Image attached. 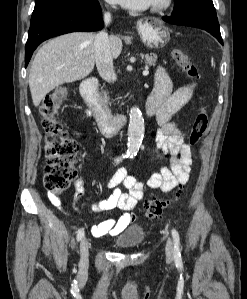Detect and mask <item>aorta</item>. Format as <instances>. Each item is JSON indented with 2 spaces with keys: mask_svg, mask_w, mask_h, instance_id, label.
<instances>
[{
  "mask_svg": "<svg viewBox=\"0 0 247 299\" xmlns=\"http://www.w3.org/2000/svg\"><path fill=\"white\" fill-rule=\"evenodd\" d=\"M144 118L139 108L132 107L129 113L127 153L136 155L144 136Z\"/></svg>",
  "mask_w": 247,
  "mask_h": 299,
  "instance_id": "aorta-1",
  "label": "aorta"
}]
</instances>
